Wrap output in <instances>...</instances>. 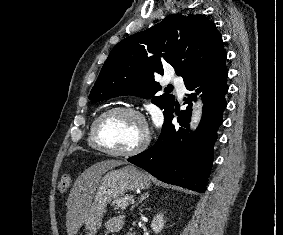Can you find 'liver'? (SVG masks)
Returning <instances> with one entry per match:
<instances>
[{
	"instance_id": "1",
	"label": "liver",
	"mask_w": 283,
	"mask_h": 235,
	"mask_svg": "<svg viewBox=\"0 0 283 235\" xmlns=\"http://www.w3.org/2000/svg\"><path fill=\"white\" fill-rule=\"evenodd\" d=\"M119 160L98 162L86 169L75 181L67 202V231L74 235L82 226L86 211L91 202L93 191L101 178L108 170L123 165Z\"/></svg>"
}]
</instances>
